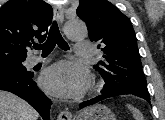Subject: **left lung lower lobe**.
Masks as SVG:
<instances>
[{
    "label": "left lung lower lobe",
    "instance_id": "1",
    "mask_svg": "<svg viewBox=\"0 0 165 120\" xmlns=\"http://www.w3.org/2000/svg\"><path fill=\"white\" fill-rule=\"evenodd\" d=\"M117 95H118V94H105V93H103L102 95H99V96H97V97H95V98H93V99H90V100H88V101L82 102V103L79 105V107H80V108H84V107H86V106L93 105V104H95V103H97V102H99V101H102V100H104V99H106V98L114 97V96H117ZM141 98H144V97H141ZM144 99L147 100V101L150 103V98H144Z\"/></svg>",
    "mask_w": 165,
    "mask_h": 120
}]
</instances>
